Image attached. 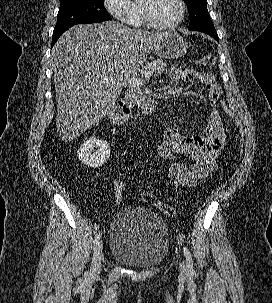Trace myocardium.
Masks as SVG:
<instances>
[{
  "instance_id": "myocardium-1",
  "label": "myocardium",
  "mask_w": 272,
  "mask_h": 303,
  "mask_svg": "<svg viewBox=\"0 0 272 303\" xmlns=\"http://www.w3.org/2000/svg\"><path fill=\"white\" fill-rule=\"evenodd\" d=\"M153 0H141V11L144 22L155 30H170L177 27L185 18L187 6L184 0H178L180 4L179 17L172 23L163 25L155 21L151 11V5Z\"/></svg>"
}]
</instances>
